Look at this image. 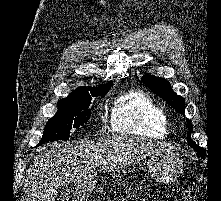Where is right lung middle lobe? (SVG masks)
Instances as JSON below:
<instances>
[{
    "label": "right lung middle lobe",
    "mask_w": 221,
    "mask_h": 201,
    "mask_svg": "<svg viewBox=\"0 0 221 201\" xmlns=\"http://www.w3.org/2000/svg\"><path fill=\"white\" fill-rule=\"evenodd\" d=\"M108 91L81 98H64L58 101V111L46 124L39 145L52 140H68L72 128H78L90 118L92 97H104Z\"/></svg>",
    "instance_id": "1"
}]
</instances>
